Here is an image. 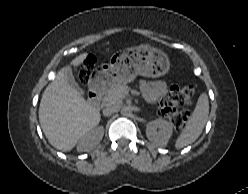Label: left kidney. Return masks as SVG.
I'll return each instance as SVG.
<instances>
[{"label":"left kidney","mask_w":248,"mask_h":194,"mask_svg":"<svg viewBox=\"0 0 248 194\" xmlns=\"http://www.w3.org/2000/svg\"><path fill=\"white\" fill-rule=\"evenodd\" d=\"M172 132V125L163 119L150 121L146 125V136L156 146L165 147Z\"/></svg>","instance_id":"left-kidney-1"}]
</instances>
